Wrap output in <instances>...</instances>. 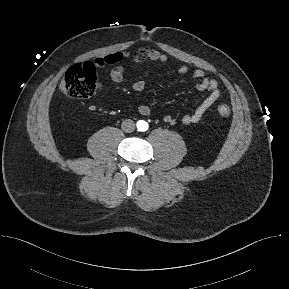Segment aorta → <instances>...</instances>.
Here are the masks:
<instances>
[{
    "label": "aorta",
    "mask_w": 289,
    "mask_h": 289,
    "mask_svg": "<svg viewBox=\"0 0 289 289\" xmlns=\"http://www.w3.org/2000/svg\"><path fill=\"white\" fill-rule=\"evenodd\" d=\"M139 129H140V130H143V131L146 130V129H147V124L142 121V122L139 124Z\"/></svg>",
    "instance_id": "aorta-1"
}]
</instances>
